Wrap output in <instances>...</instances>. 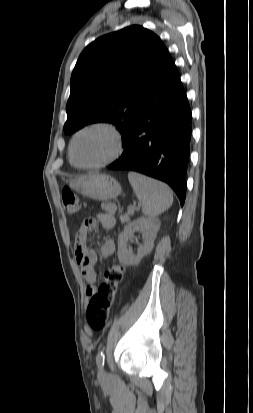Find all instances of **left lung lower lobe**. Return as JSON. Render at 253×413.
I'll return each mask as SVG.
<instances>
[{
	"label": "left lung lower lobe",
	"instance_id": "1",
	"mask_svg": "<svg viewBox=\"0 0 253 413\" xmlns=\"http://www.w3.org/2000/svg\"><path fill=\"white\" fill-rule=\"evenodd\" d=\"M190 138L191 110L172 60L126 131L124 152L108 168L137 171L164 181L183 205Z\"/></svg>",
	"mask_w": 253,
	"mask_h": 413
}]
</instances>
